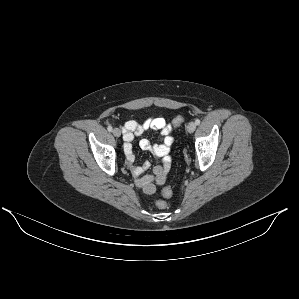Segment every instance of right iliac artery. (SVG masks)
Instances as JSON below:
<instances>
[{
  "instance_id": "right-iliac-artery-1",
  "label": "right iliac artery",
  "mask_w": 299,
  "mask_h": 299,
  "mask_svg": "<svg viewBox=\"0 0 299 299\" xmlns=\"http://www.w3.org/2000/svg\"><path fill=\"white\" fill-rule=\"evenodd\" d=\"M107 130H108L109 132H111V131H112V127H111V126H108V127H107Z\"/></svg>"
}]
</instances>
